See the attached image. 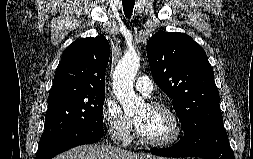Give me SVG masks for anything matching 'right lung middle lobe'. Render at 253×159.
Returning <instances> with one entry per match:
<instances>
[{
	"mask_svg": "<svg viewBox=\"0 0 253 159\" xmlns=\"http://www.w3.org/2000/svg\"><path fill=\"white\" fill-rule=\"evenodd\" d=\"M104 98L105 91H88L48 98L46 126L38 148L74 130L102 129Z\"/></svg>",
	"mask_w": 253,
	"mask_h": 159,
	"instance_id": "1",
	"label": "right lung middle lobe"
}]
</instances>
